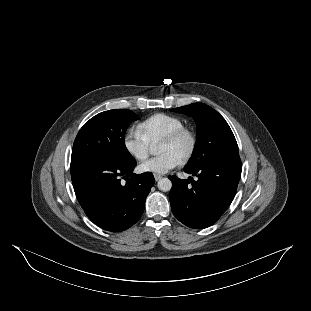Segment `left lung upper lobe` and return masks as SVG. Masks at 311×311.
I'll use <instances>...</instances> for the list:
<instances>
[{
  "label": "left lung upper lobe",
  "mask_w": 311,
  "mask_h": 311,
  "mask_svg": "<svg viewBox=\"0 0 311 311\" xmlns=\"http://www.w3.org/2000/svg\"><path fill=\"white\" fill-rule=\"evenodd\" d=\"M170 111L192 116L197 124L196 145L185 168H197L226 157H239L238 145L231 128L210 106L193 103Z\"/></svg>",
  "instance_id": "obj_1"
}]
</instances>
